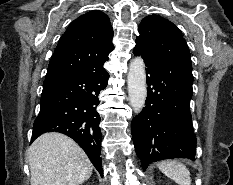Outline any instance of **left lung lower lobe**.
Listing matches in <instances>:
<instances>
[{
    "label": "left lung lower lobe",
    "mask_w": 233,
    "mask_h": 185,
    "mask_svg": "<svg viewBox=\"0 0 233 185\" xmlns=\"http://www.w3.org/2000/svg\"><path fill=\"white\" fill-rule=\"evenodd\" d=\"M147 99L142 112L131 123L136 154L143 169L168 158L195 160L196 137L192 127L190 100L192 70L144 56Z\"/></svg>",
    "instance_id": "1"
}]
</instances>
